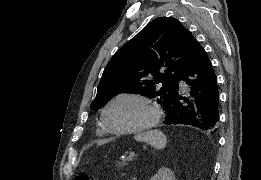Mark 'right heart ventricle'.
<instances>
[{"mask_svg":"<svg viewBox=\"0 0 261 180\" xmlns=\"http://www.w3.org/2000/svg\"><path fill=\"white\" fill-rule=\"evenodd\" d=\"M95 136L101 139H109V138H113L116 136L111 135L103 125H99L96 129H95Z\"/></svg>","mask_w":261,"mask_h":180,"instance_id":"obj_1","label":"right heart ventricle"}]
</instances>
